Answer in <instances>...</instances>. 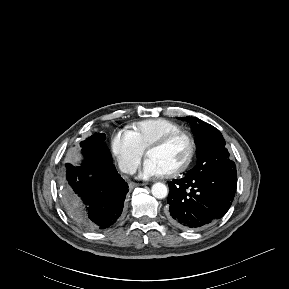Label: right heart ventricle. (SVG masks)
Returning <instances> with one entry per match:
<instances>
[{"label": "right heart ventricle", "mask_w": 289, "mask_h": 289, "mask_svg": "<svg viewBox=\"0 0 289 289\" xmlns=\"http://www.w3.org/2000/svg\"><path fill=\"white\" fill-rule=\"evenodd\" d=\"M180 130L182 129L177 123L164 118H156L136 123L132 131L140 146L145 150L159 138Z\"/></svg>", "instance_id": "right-heart-ventricle-1"}]
</instances>
